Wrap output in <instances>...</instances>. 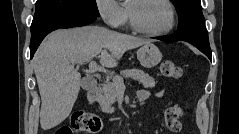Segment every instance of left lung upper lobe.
I'll return each instance as SVG.
<instances>
[{"instance_id": "5c2ea615", "label": "left lung upper lobe", "mask_w": 239, "mask_h": 134, "mask_svg": "<svg viewBox=\"0 0 239 134\" xmlns=\"http://www.w3.org/2000/svg\"><path fill=\"white\" fill-rule=\"evenodd\" d=\"M171 2L174 4L179 17V26L175 33L190 30L207 31L200 0H171Z\"/></svg>"}]
</instances>
